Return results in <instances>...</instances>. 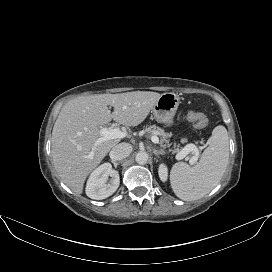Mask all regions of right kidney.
I'll return each mask as SVG.
<instances>
[{"label":"right kidney","mask_w":272,"mask_h":272,"mask_svg":"<svg viewBox=\"0 0 272 272\" xmlns=\"http://www.w3.org/2000/svg\"><path fill=\"white\" fill-rule=\"evenodd\" d=\"M109 176L111 179L107 183ZM119 184V172L112 169L111 164L105 163L91 173L87 181L86 194L91 199L102 200L111 196L117 190Z\"/></svg>","instance_id":"ca27d5eb"}]
</instances>
